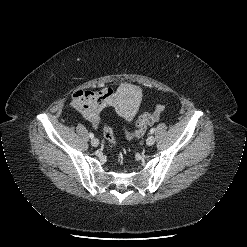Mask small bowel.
<instances>
[{
  "instance_id": "1",
  "label": "small bowel",
  "mask_w": 247,
  "mask_h": 247,
  "mask_svg": "<svg viewBox=\"0 0 247 247\" xmlns=\"http://www.w3.org/2000/svg\"><path fill=\"white\" fill-rule=\"evenodd\" d=\"M115 91L110 87L95 90L76 91L71 97V104L94 127L100 124L102 110L113 103ZM160 109H158L159 113Z\"/></svg>"
}]
</instances>
